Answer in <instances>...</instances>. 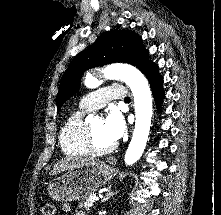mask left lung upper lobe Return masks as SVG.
Returning a JSON list of instances; mask_svg holds the SVG:
<instances>
[{
    "instance_id": "obj_1",
    "label": "left lung upper lobe",
    "mask_w": 221,
    "mask_h": 215,
    "mask_svg": "<svg viewBox=\"0 0 221 215\" xmlns=\"http://www.w3.org/2000/svg\"><path fill=\"white\" fill-rule=\"evenodd\" d=\"M115 62L131 64L141 72L153 64L148 58V51L145 50L142 39L137 34L128 30L105 32L69 64L60 82L57 112L80 88L84 71Z\"/></svg>"
}]
</instances>
